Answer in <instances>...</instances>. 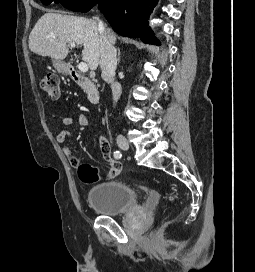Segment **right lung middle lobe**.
Instances as JSON below:
<instances>
[{
	"instance_id": "1",
	"label": "right lung middle lobe",
	"mask_w": 255,
	"mask_h": 272,
	"mask_svg": "<svg viewBox=\"0 0 255 272\" xmlns=\"http://www.w3.org/2000/svg\"><path fill=\"white\" fill-rule=\"evenodd\" d=\"M43 4L49 5L51 2L61 3L64 7L73 11L87 12L96 3H100L102 0H41Z\"/></svg>"
}]
</instances>
